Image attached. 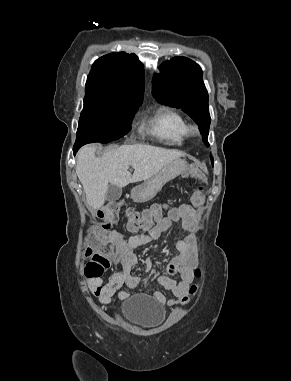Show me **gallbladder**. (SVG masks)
Returning <instances> with one entry per match:
<instances>
[{
  "label": "gallbladder",
  "instance_id": "1",
  "mask_svg": "<svg viewBox=\"0 0 291 381\" xmlns=\"http://www.w3.org/2000/svg\"><path fill=\"white\" fill-rule=\"evenodd\" d=\"M121 195H122V188L111 184L109 185L107 193H106V200L116 201L121 197Z\"/></svg>",
  "mask_w": 291,
  "mask_h": 381
}]
</instances>
